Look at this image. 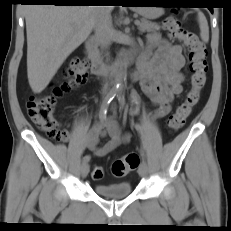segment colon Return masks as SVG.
Listing matches in <instances>:
<instances>
[{"label": "colon", "mask_w": 231, "mask_h": 231, "mask_svg": "<svg viewBox=\"0 0 231 231\" xmlns=\"http://www.w3.org/2000/svg\"><path fill=\"white\" fill-rule=\"evenodd\" d=\"M177 11L172 10L164 22L163 27L172 39L179 40L188 50L189 68L191 72V88L184 100L168 119L171 131L179 130L186 122L193 107L198 103L200 93L206 84L208 71L207 50L196 33L183 28L181 21L176 17ZM88 79V64L84 59H72L63 71V81L53 87L46 95H33L27 102V113L32 121L55 141L68 139V131L63 129L54 115V108L58 98L72 88L85 83ZM139 163L136 153H128L115 160L110 172L115 177H123L134 170ZM104 175L101 166H95L91 172L94 180L102 179Z\"/></svg>", "instance_id": "colon-1"}]
</instances>
